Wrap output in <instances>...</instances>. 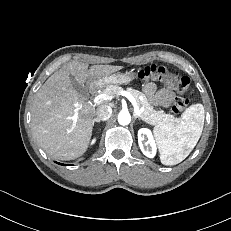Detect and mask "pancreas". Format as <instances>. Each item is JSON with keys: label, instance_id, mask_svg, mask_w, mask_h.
I'll list each match as a JSON object with an SVG mask.
<instances>
[{"label": "pancreas", "instance_id": "obj_1", "mask_svg": "<svg viewBox=\"0 0 231 231\" xmlns=\"http://www.w3.org/2000/svg\"><path fill=\"white\" fill-rule=\"evenodd\" d=\"M124 91L122 87L116 85H107L102 88L101 93L103 94H113V97L119 96L120 92ZM126 91L130 93L137 101L138 107H143L144 110L140 114V118L150 125H160V124H172L176 121V118L173 115H165L163 111H155L153 106H151L145 95L135 89L127 88ZM142 97V100H140Z\"/></svg>", "mask_w": 231, "mask_h": 231}]
</instances>
